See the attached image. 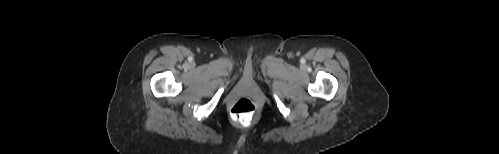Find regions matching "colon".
Returning a JSON list of instances; mask_svg holds the SVG:
<instances>
[{"label": "colon", "instance_id": "5ec220e1", "mask_svg": "<svg viewBox=\"0 0 499 154\" xmlns=\"http://www.w3.org/2000/svg\"><path fill=\"white\" fill-rule=\"evenodd\" d=\"M255 112V104L247 98H242L232 106L230 115L233 121L241 125H248L252 122Z\"/></svg>", "mask_w": 499, "mask_h": 154}]
</instances>
